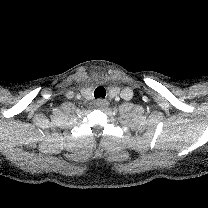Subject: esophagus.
Masks as SVG:
<instances>
[{
    "instance_id": "esophagus-1",
    "label": "esophagus",
    "mask_w": 208,
    "mask_h": 208,
    "mask_svg": "<svg viewBox=\"0 0 208 208\" xmlns=\"http://www.w3.org/2000/svg\"><path fill=\"white\" fill-rule=\"evenodd\" d=\"M95 104L98 108H103V107H108L109 102L107 100L98 99L96 100Z\"/></svg>"
}]
</instances>
